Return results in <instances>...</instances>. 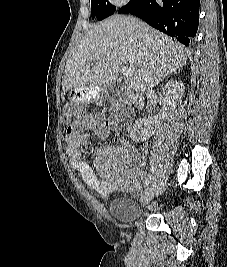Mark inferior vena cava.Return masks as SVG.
<instances>
[{"instance_id": "602c4592", "label": "inferior vena cava", "mask_w": 227, "mask_h": 267, "mask_svg": "<svg viewBox=\"0 0 227 267\" xmlns=\"http://www.w3.org/2000/svg\"><path fill=\"white\" fill-rule=\"evenodd\" d=\"M143 30H144V31L146 30V27H145V26L143 27Z\"/></svg>"}]
</instances>
